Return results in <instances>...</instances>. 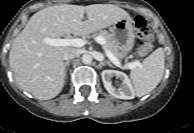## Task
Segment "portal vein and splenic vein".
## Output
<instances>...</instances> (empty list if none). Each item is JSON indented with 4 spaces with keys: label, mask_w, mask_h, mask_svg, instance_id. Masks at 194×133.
I'll use <instances>...</instances> for the list:
<instances>
[{
    "label": "portal vein and splenic vein",
    "mask_w": 194,
    "mask_h": 133,
    "mask_svg": "<svg viewBox=\"0 0 194 133\" xmlns=\"http://www.w3.org/2000/svg\"><path fill=\"white\" fill-rule=\"evenodd\" d=\"M44 43H47L49 45L52 46H64V47H68V46H72V47H83L85 45V40L81 39V38H49V37H45L42 40ZM95 41L99 44H101L103 46L104 52L106 54V56L110 59V61L115 64L116 66L120 67L121 63L120 61L105 47L106 44V40L101 37V36H97L95 37ZM140 62L135 61V62H131L127 65V68L129 69H133L137 66H140Z\"/></svg>",
    "instance_id": "18ae733b"
}]
</instances>
